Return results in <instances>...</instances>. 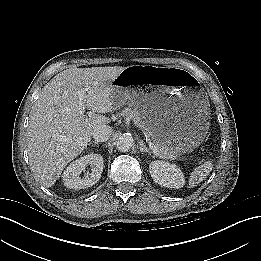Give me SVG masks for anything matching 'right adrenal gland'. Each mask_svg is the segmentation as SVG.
<instances>
[{
    "label": "right adrenal gland",
    "instance_id": "right-adrenal-gland-1",
    "mask_svg": "<svg viewBox=\"0 0 261 261\" xmlns=\"http://www.w3.org/2000/svg\"><path fill=\"white\" fill-rule=\"evenodd\" d=\"M94 144V145H99L100 143L99 142H97V141H93V142H91V144Z\"/></svg>",
    "mask_w": 261,
    "mask_h": 261
}]
</instances>
